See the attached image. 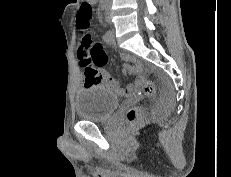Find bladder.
Masks as SVG:
<instances>
[{
    "instance_id": "bladder-1",
    "label": "bladder",
    "mask_w": 231,
    "mask_h": 177,
    "mask_svg": "<svg viewBox=\"0 0 231 177\" xmlns=\"http://www.w3.org/2000/svg\"><path fill=\"white\" fill-rule=\"evenodd\" d=\"M119 105V98L100 85L81 88L75 96L77 115L87 121L99 122L109 118Z\"/></svg>"
}]
</instances>
